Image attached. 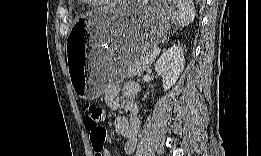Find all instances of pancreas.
<instances>
[{
    "label": "pancreas",
    "mask_w": 261,
    "mask_h": 156,
    "mask_svg": "<svg viewBox=\"0 0 261 156\" xmlns=\"http://www.w3.org/2000/svg\"><path fill=\"white\" fill-rule=\"evenodd\" d=\"M151 51H148L142 55L140 59L136 61L131 68L128 69L127 76L140 75L152 64L154 58L150 57Z\"/></svg>",
    "instance_id": "obj_1"
}]
</instances>
